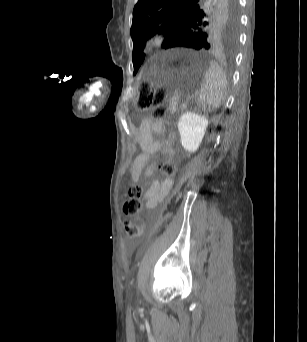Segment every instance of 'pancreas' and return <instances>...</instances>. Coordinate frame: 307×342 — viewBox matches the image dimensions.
Wrapping results in <instances>:
<instances>
[{"label": "pancreas", "instance_id": "pancreas-1", "mask_svg": "<svg viewBox=\"0 0 307 342\" xmlns=\"http://www.w3.org/2000/svg\"><path fill=\"white\" fill-rule=\"evenodd\" d=\"M170 108H171L172 110H175V109L177 108V105H176L175 103H172V104L170 105Z\"/></svg>", "mask_w": 307, "mask_h": 342}]
</instances>
